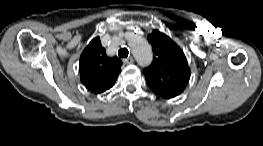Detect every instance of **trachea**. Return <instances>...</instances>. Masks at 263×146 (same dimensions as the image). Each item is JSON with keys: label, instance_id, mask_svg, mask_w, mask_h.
Wrapping results in <instances>:
<instances>
[{"label": "trachea", "instance_id": "1", "mask_svg": "<svg viewBox=\"0 0 263 146\" xmlns=\"http://www.w3.org/2000/svg\"><path fill=\"white\" fill-rule=\"evenodd\" d=\"M129 55V51L127 48H121L119 51H118V56L120 58H126L127 56Z\"/></svg>", "mask_w": 263, "mask_h": 146}]
</instances>
